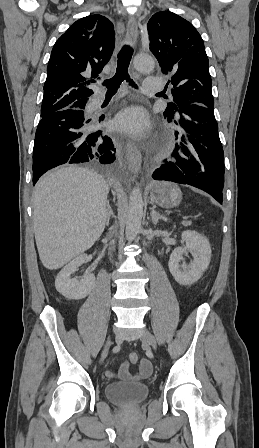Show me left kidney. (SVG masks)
<instances>
[{
    "label": "left kidney",
    "mask_w": 259,
    "mask_h": 448,
    "mask_svg": "<svg viewBox=\"0 0 259 448\" xmlns=\"http://www.w3.org/2000/svg\"><path fill=\"white\" fill-rule=\"evenodd\" d=\"M182 240H185L184 248H175L168 262L169 270L180 286H191L200 280L203 272L207 270L211 260V248L207 238L198 232H182ZM191 252L194 260L191 264H182L183 254Z\"/></svg>",
    "instance_id": "1"
}]
</instances>
